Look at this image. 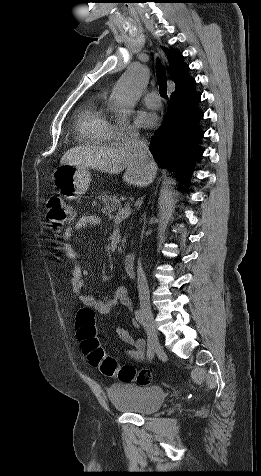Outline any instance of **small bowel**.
Segmentation results:
<instances>
[{
    "instance_id": "c3829d8e",
    "label": "small bowel",
    "mask_w": 261,
    "mask_h": 476,
    "mask_svg": "<svg viewBox=\"0 0 261 476\" xmlns=\"http://www.w3.org/2000/svg\"><path fill=\"white\" fill-rule=\"evenodd\" d=\"M100 223L101 219L99 216L86 214L81 216L75 225L68 227L64 232V239L66 242L61 245V251L67 258L74 261V264L70 270L69 286L81 304L92 308L100 315L109 314L110 311L117 305L131 310L133 304L128 296L126 288L123 286H119L116 289L114 295L111 297L96 298L92 295L82 292L86 285L84 281L83 270L79 264H77V253L68 241L73 239L78 231L89 227H97L100 225ZM133 326L137 327L138 324L133 321ZM117 335L122 342L133 347L132 350L126 353L129 358L140 360L143 357L146 349V343L142 338L133 337L125 328L122 327L117 329Z\"/></svg>"
}]
</instances>
